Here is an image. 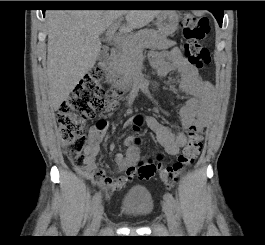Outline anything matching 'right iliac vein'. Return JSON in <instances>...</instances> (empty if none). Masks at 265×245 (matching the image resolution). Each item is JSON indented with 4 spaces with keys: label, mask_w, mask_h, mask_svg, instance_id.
<instances>
[{
    "label": "right iliac vein",
    "mask_w": 265,
    "mask_h": 245,
    "mask_svg": "<svg viewBox=\"0 0 265 245\" xmlns=\"http://www.w3.org/2000/svg\"><path fill=\"white\" fill-rule=\"evenodd\" d=\"M102 214H103V206L99 204L95 209L92 223L88 229L87 236H95L97 234L100 223H101Z\"/></svg>",
    "instance_id": "1"
}]
</instances>
